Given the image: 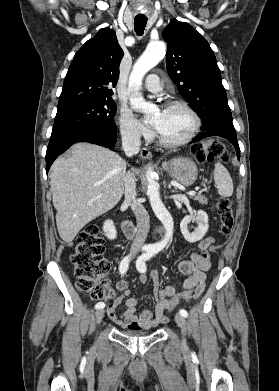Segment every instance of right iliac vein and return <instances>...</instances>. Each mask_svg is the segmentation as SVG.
Masks as SVG:
<instances>
[{"mask_svg":"<svg viewBox=\"0 0 279 391\" xmlns=\"http://www.w3.org/2000/svg\"><path fill=\"white\" fill-rule=\"evenodd\" d=\"M104 317V310H98L95 314V322L96 324H100Z\"/></svg>","mask_w":279,"mask_h":391,"instance_id":"63e3f726","label":"right iliac vein"}]
</instances>
